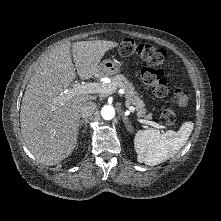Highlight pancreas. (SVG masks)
<instances>
[{
	"label": "pancreas",
	"mask_w": 221,
	"mask_h": 221,
	"mask_svg": "<svg viewBox=\"0 0 221 221\" xmlns=\"http://www.w3.org/2000/svg\"><path fill=\"white\" fill-rule=\"evenodd\" d=\"M107 86L113 87L115 90L117 88H122L125 91L126 105L130 107L135 106L137 110L138 117H144L147 120L152 119V114H147V109L143 100L138 96L137 92L134 90L132 83H130L126 77L122 74L112 77V83L106 84Z\"/></svg>",
	"instance_id": "obj_1"
}]
</instances>
